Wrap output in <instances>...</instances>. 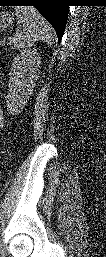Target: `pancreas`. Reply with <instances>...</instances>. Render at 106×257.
Returning <instances> with one entry per match:
<instances>
[{
  "mask_svg": "<svg viewBox=\"0 0 106 257\" xmlns=\"http://www.w3.org/2000/svg\"><path fill=\"white\" fill-rule=\"evenodd\" d=\"M19 42L20 41L17 38V36H14V37H9L7 42H5V39L2 40L1 41V45L4 46L5 43H6L7 45L11 46V49H13V48H20V47H22V45Z\"/></svg>",
  "mask_w": 106,
  "mask_h": 257,
  "instance_id": "pancreas-1",
  "label": "pancreas"
}]
</instances>
